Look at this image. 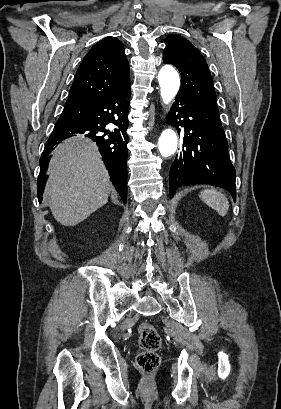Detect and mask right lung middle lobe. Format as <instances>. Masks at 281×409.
Listing matches in <instances>:
<instances>
[{"mask_svg":"<svg viewBox=\"0 0 281 409\" xmlns=\"http://www.w3.org/2000/svg\"><path fill=\"white\" fill-rule=\"evenodd\" d=\"M72 120H73V119H71V118L60 117L59 120H58V122H59V121H72Z\"/></svg>","mask_w":281,"mask_h":409,"instance_id":"obj_1","label":"right lung middle lobe"}]
</instances>
